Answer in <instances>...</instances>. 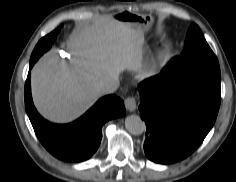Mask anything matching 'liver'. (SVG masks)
<instances>
[{
    "label": "liver",
    "mask_w": 236,
    "mask_h": 182,
    "mask_svg": "<svg viewBox=\"0 0 236 182\" xmlns=\"http://www.w3.org/2000/svg\"><path fill=\"white\" fill-rule=\"evenodd\" d=\"M144 34L112 18L73 32L67 42L76 57L74 65L51 55L32 69V95L38 111L48 120L70 122L82 115L102 95L100 86L124 70H142Z\"/></svg>",
    "instance_id": "obj_1"
}]
</instances>
